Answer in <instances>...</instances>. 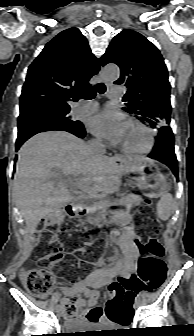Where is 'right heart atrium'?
<instances>
[{
  "mask_svg": "<svg viewBox=\"0 0 194 336\" xmlns=\"http://www.w3.org/2000/svg\"><path fill=\"white\" fill-rule=\"evenodd\" d=\"M95 142H96V143H100L101 141H100L99 139H96Z\"/></svg>",
  "mask_w": 194,
  "mask_h": 336,
  "instance_id": "obj_1",
  "label": "right heart atrium"
}]
</instances>
